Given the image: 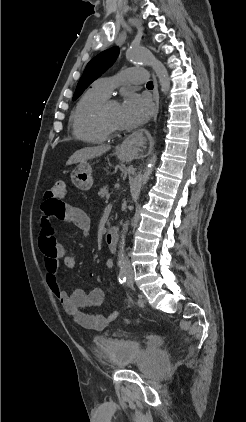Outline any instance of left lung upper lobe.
Listing matches in <instances>:
<instances>
[{"label":"left lung upper lobe","instance_id":"1","mask_svg":"<svg viewBox=\"0 0 246 422\" xmlns=\"http://www.w3.org/2000/svg\"><path fill=\"white\" fill-rule=\"evenodd\" d=\"M119 54L117 47L107 49L95 56L86 66L78 82L73 100H76L83 91L98 77L102 75L116 60Z\"/></svg>","mask_w":246,"mask_h":422}]
</instances>
